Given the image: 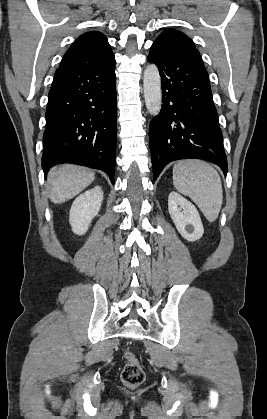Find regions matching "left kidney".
I'll use <instances>...</instances> for the list:
<instances>
[{
    "mask_svg": "<svg viewBox=\"0 0 267 419\" xmlns=\"http://www.w3.org/2000/svg\"><path fill=\"white\" fill-rule=\"evenodd\" d=\"M169 214L181 236L188 241L199 240L204 228L196 207L176 192L168 197Z\"/></svg>",
    "mask_w": 267,
    "mask_h": 419,
    "instance_id": "5707ae66",
    "label": "left kidney"
}]
</instances>
